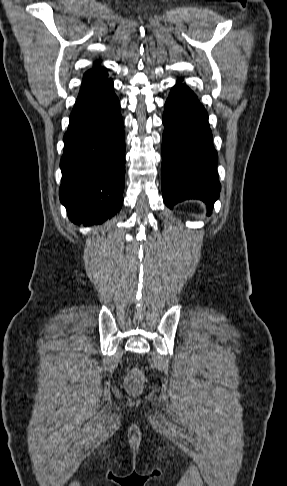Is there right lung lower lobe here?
<instances>
[{
    "label": "right lung lower lobe",
    "instance_id": "right-lung-lower-lobe-1",
    "mask_svg": "<svg viewBox=\"0 0 287 486\" xmlns=\"http://www.w3.org/2000/svg\"><path fill=\"white\" fill-rule=\"evenodd\" d=\"M112 79L81 87L64 135L59 196L70 220L101 223L123 203L125 142Z\"/></svg>",
    "mask_w": 287,
    "mask_h": 486
}]
</instances>
